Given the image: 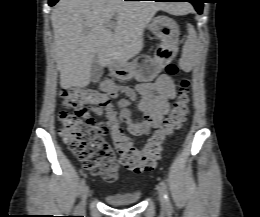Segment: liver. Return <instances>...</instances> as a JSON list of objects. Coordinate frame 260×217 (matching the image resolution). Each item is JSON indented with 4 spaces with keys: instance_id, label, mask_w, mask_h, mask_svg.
<instances>
[{
    "instance_id": "liver-1",
    "label": "liver",
    "mask_w": 260,
    "mask_h": 217,
    "mask_svg": "<svg viewBox=\"0 0 260 217\" xmlns=\"http://www.w3.org/2000/svg\"><path fill=\"white\" fill-rule=\"evenodd\" d=\"M158 10L182 15L186 5L124 0H60L51 21L60 86L85 87L90 82L93 59L102 67L122 63L143 49V32ZM116 20L114 32L105 26Z\"/></svg>"
}]
</instances>
